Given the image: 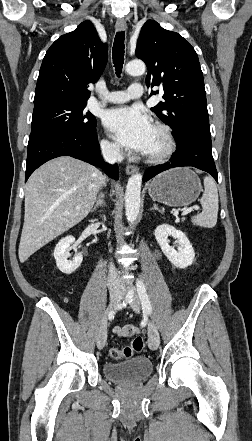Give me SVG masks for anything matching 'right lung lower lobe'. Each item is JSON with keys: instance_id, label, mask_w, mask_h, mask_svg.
Segmentation results:
<instances>
[{"instance_id": "98d812e1", "label": "right lung lower lobe", "mask_w": 252, "mask_h": 441, "mask_svg": "<svg viewBox=\"0 0 252 441\" xmlns=\"http://www.w3.org/2000/svg\"><path fill=\"white\" fill-rule=\"evenodd\" d=\"M59 156H71L98 165L110 177L119 178L117 165H108L101 158L95 126L87 132L42 131L30 134L25 181L43 163Z\"/></svg>"}]
</instances>
